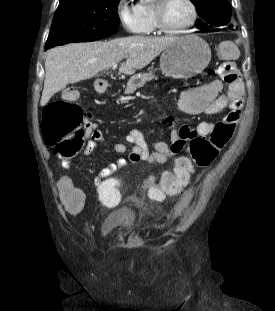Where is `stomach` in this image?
Masks as SVG:
<instances>
[{"mask_svg": "<svg viewBox=\"0 0 275 311\" xmlns=\"http://www.w3.org/2000/svg\"><path fill=\"white\" fill-rule=\"evenodd\" d=\"M210 60L209 45L199 36L190 34L177 37L164 49L160 69L167 77L187 79L202 73Z\"/></svg>", "mask_w": 275, "mask_h": 311, "instance_id": "obj_1", "label": "stomach"}]
</instances>
